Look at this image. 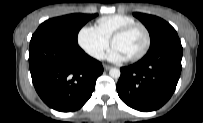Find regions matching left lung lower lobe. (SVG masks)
Here are the masks:
<instances>
[{
    "mask_svg": "<svg viewBox=\"0 0 203 123\" xmlns=\"http://www.w3.org/2000/svg\"><path fill=\"white\" fill-rule=\"evenodd\" d=\"M181 59L182 45L178 41L149 51L133 65L122 67L117 83L120 99L139 111L159 109L175 91Z\"/></svg>",
    "mask_w": 203,
    "mask_h": 123,
    "instance_id": "1",
    "label": "left lung lower lobe"
}]
</instances>
